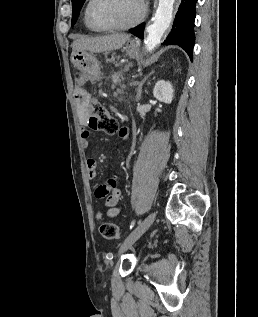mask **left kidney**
I'll return each mask as SVG.
<instances>
[{
    "mask_svg": "<svg viewBox=\"0 0 258 317\" xmlns=\"http://www.w3.org/2000/svg\"><path fill=\"white\" fill-rule=\"evenodd\" d=\"M153 96L161 102H172L174 96V88L169 80H157L153 88Z\"/></svg>",
    "mask_w": 258,
    "mask_h": 317,
    "instance_id": "obj_1",
    "label": "left kidney"
}]
</instances>
